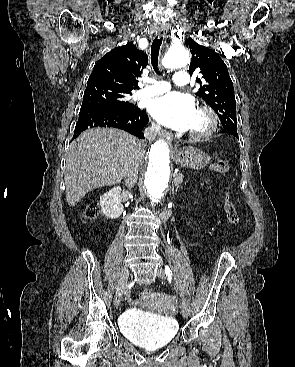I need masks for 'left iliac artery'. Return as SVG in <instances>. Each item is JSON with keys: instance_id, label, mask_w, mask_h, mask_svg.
<instances>
[{"instance_id": "obj_1", "label": "left iliac artery", "mask_w": 295, "mask_h": 367, "mask_svg": "<svg viewBox=\"0 0 295 367\" xmlns=\"http://www.w3.org/2000/svg\"><path fill=\"white\" fill-rule=\"evenodd\" d=\"M165 273L168 277L172 276V271L170 270V268L167 265L165 266Z\"/></svg>"}]
</instances>
